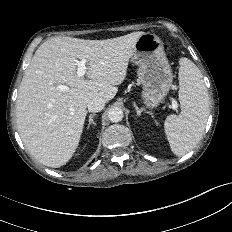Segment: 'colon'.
<instances>
[{
    "instance_id": "1",
    "label": "colon",
    "mask_w": 232,
    "mask_h": 232,
    "mask_svg": "<svg viewBox=\"0 0 232 232\" xmlns=\"http://www.w3.org/2000/svg\"><path fill=\"white\" fill-rule=\"evenodd\" d=\"M166 50H167V51H170V49H169V47H168V46H166Z\"/></svg>"
}]
</instances>
